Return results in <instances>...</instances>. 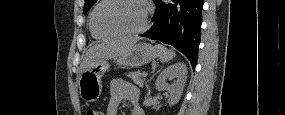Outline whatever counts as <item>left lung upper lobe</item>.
Masks as SVG:
<instances>
[{
    "label": "left lung upper lobe",
    "instance_id": "5c2ea615",
    "mask_svg": "<svg viewBox=\"0 0 285 115\" xmlns=\"http://www.w3.org/2000/svg\"><path fill=\"white\" fill-rule=\"evenodd\" d=\"M96 1H97V0H85L84 14L87 13V11L91 8V6H92Z\"/></svg>",
    "mask_w": 285,
    "mask_h": 115
}]
</instances>
